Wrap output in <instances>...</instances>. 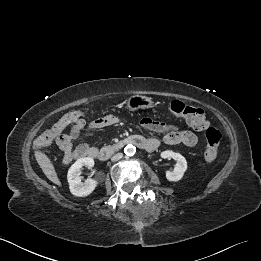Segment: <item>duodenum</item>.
<instances>
[{"mask_svg":"<svg viewBox=\"0 0 261 261\" xmlns=\"http://www.w3.org/2000/svg\"><path fill=\"white\" fill-rule=\"evenodd\" d=\"M128 144H133L144 151H153L157 147V144L153 140L145 139L139 135H133L124 138L117 143L106 146L101 150L94 151L91 153V156L101 161H105L109 159L115 152L123 149Z\"/></svg>","mask_w":261,"mask_h":261,"instance_id":"duodenum-1","label":"duodenum"}]
</instances>
